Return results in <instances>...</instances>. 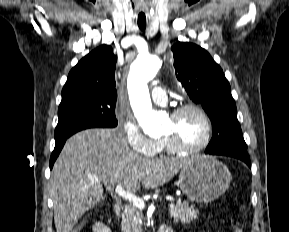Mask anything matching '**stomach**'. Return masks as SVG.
<instances>
[{"label":"stomach","instance_id":"stomach-1","mask_svg":"<svg viewBox=\"0 0 289 232\" xmlns=\"http://www.w3.org/2000/svg\"><path fill=\"white\" fill-rule=\"evenodd\" d=\"M231 181L228 168L216 159L197 156L187 159L180 169L179 184L193 202L208 203L225 193Z\"/></svg>","mask_w":289,"mask_h":232}]
</instances>
